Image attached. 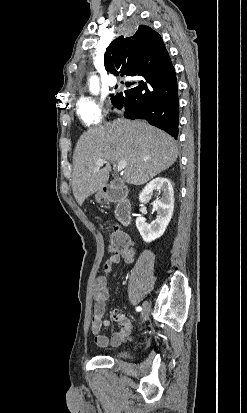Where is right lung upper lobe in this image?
<instances>
[{"instance_id":"right-lung-upper-lobe-1","label":"right lung upper lobe","mask_w":247,"mask_h":413,"mask_svg":"<svg viewBox=\"0 0 247 413\" xmlns=\"http://www.w3.org/2000/svg\"><path fill=\"white\" fill-rule=\"evenodd\" d=\"M169 60L161 36L146 25L138 26L132 37L120 36L112 41L104 56L107 71L126 76L154 71Z\"/></svg>"}]
</instances>
